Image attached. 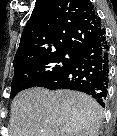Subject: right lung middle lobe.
<instances>
[{"instance_id": "obj_1", "label": "right lung middle lobe", "mask_w": 117, "mask_h": 136, "mask_svg": "<svg viewBox=\"0 0 117 136\" xmlns=\"http://www.w3.org/2000/svg\"><path fill=\"white\" fill-rule=\"evenodd\" d=\"M74 57V52L62 51L15 68L11 84V98H14L22 90L39 86L42 82L61 71Z\"/></svg>"}]
</instances>
